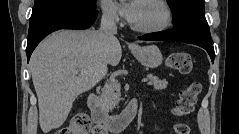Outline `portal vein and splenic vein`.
<instances>
[{
  "label": "portal vein and splenic vein",
  "mask_w": 239,
  "mask_h": 134,
  "mask_svg": "<svg viewBox=\"0 0 239 134\" xmlns=\"http://www.w3.org/2000/svg\"><path fill=\"white\" fill-rule=\"evenodd\" d=\"M147 81H148L147 78H143V79L141 80V82H147Z\"/></svg>",
  "instance_id": "18ae733b"
}]
</instances>
